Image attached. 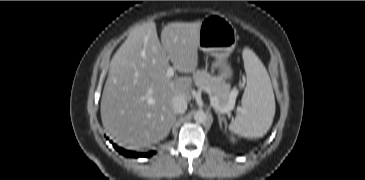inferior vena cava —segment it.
Masks as SVG:
<instances>
[{
  "label": "inferior vena cava",
  "mask_w": 365,
  "mask_h": 180,
  "mask_svg": "<svg viewBox=\"0 0 365 180\" xmlns=\"http://www.w3.org/2000/svg\"><path fill=\"white\" fill-rule=\"evenodd\" d=\"M173 111L176 114H182L187 110V102L182 96H174L172 99Z\"/></svg>",
  "instance_id": "602c4592"
}]
</instances>
